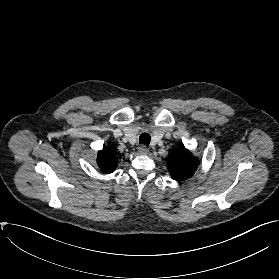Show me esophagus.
Listing matches in <instances>:
<instances>
[{
  "instance_id": "obj_1",
  "label": "esophagus",
  "mask_w": 279,
  "mask_h": 279,
  "mask_svg": "<svg viewBox=\"0 0 279 279\" xmlns=\"http://www.w3.org/2000/svg\"><path fill=\"white\" fill-rule=\"evenodd\" d=\"M138 151H139L140 154H143V155H146V154L149 153V149L144 145L140 146L138 148Z\"/></svg>"
}]
</instances>
